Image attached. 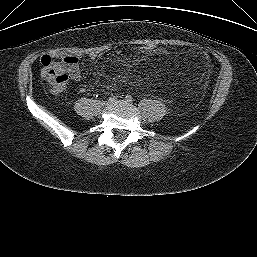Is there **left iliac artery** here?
Here are the masks:
<instances>
[{
  "mask_svg": "<svg viewBox=\"0 0 257 257\" xmlns=\"http://www.w3.org/2000/svg\"><path fill=\"white\" fill-rule=\"evenodd\" d=\"M125 99L128 101V102H132L133 101V98L131 95H126Z\"/></svg>",
  "mask_w": 257,
  "mask_h": 257,
  "instance_id": "obj_1",
  "label": "left iliac artery"
}]
</instances>
